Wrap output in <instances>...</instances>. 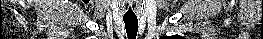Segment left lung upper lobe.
<instances>
[{"label": "left lung upper lobe", "mask_w": 263, "mask_h": 39, "mask_svg": "<svg viewBox=\"0 0 263 39\" xmlns=\"http://www.w3.org/2000/svg\"><path fill=\"white\" fill-rule=\"evenodd\" d=\"M172 37H173V36H172ZM172 37H167V36H166V37H164V38H172Z\"/></svg>", "instance_id": "obj_1"}]
</instances>
